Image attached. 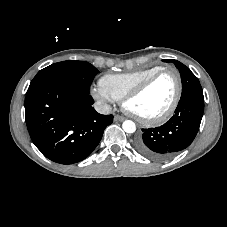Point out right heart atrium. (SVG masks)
Here are the masks:
<instances>
[{
	"mask_svg": "<svg viewBox=\"0 0 227 227\" xmlns=\"http://www.w3.org/2000/svg\"><path fill=\"white\" fill-rule=\"evenodd\" d=\"M92 95L100 103H109L112 100V98L106 92H104L100 87L93 89Z\"/></svg>",
	"mask_w": 227,
	"mask_h": 227,
	"instance_id": "right-heart-atrium-1",
	"label": "right heart atrium"
}]
</instances>
